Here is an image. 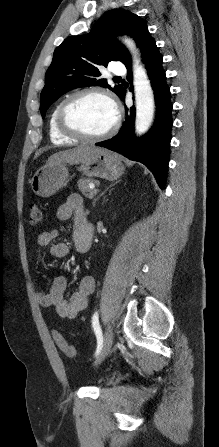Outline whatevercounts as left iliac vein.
Wrapping results in <instances>:
<instances>
[{"mask_svg":"<svg viewBox=\"0 0 219 447\" xmlns=\"http://www.w3.org/2000/svg\"><path fill=\"white\" fill-rule=\"evenodd\" d=\"M112 344H113V330L111 326H108L107 330L104 333L101 352L96 361L94 362V365L100 364L106 358L112 347Z\"/></svg>","mask_w":219,"mask_h":447,"instance_id":"1","label":"left iliac vein"}]
</instances>
